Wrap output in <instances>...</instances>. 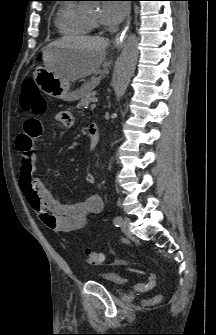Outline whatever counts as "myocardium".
<instances>
[{
	"label": "myocardium",
	"instance_id": "obj_1",
	"mask_svg": "<svg viewBox=\"0 0 216 335\" xmlns=\"http://www.w3.org/2000/svg\"><path fill=\"white\" fill-rule=\"evenodd\" d=\"M90 18V17H89ZM90 21L93 23V24H97V20L96 19H92L90 18Z\"/></svg>",
	"mask_w": 216,
	"mask_h": 335
}]
</instances>
